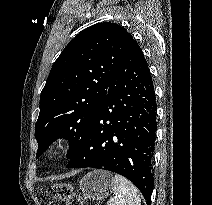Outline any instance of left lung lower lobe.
Masks as SVG:
<instances>
[{
	"instance_id": "0a47b994",
	"label": "left lung lower lobe",
	"mask_w": 212,
	"mask_h": 205,
	"mask_svg": "<svg viewBox=\"0 0 212 205\" xmlns=\"http://www.w3.org/2000/svg\"><path fill=\"white\" fill-rule=\"evenodd\" d=\"M156 115L150 70L133 40L110 80L82 146L66 167L116 172L133 182L150 205Z\"/></svg>"
}]
</instances>
